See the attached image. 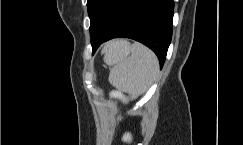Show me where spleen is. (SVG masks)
Segmentation results:
<instances>
[{"instance_id": "1", "label": "spleen", "mask_w": 243, "mask_h": 145, "mask_svg": "<svg viewBox=\"0 0 243 145\" xmlns=\"http://www.w3.org/2000/svg\"><path fill=\"white\" fill-rule=\"evenodd\" d=\"M130 56L116 57L112 51L106 53L104 60L114 66L110 69V84L134 96L145 93L159 73L156 55L146 46L134 43L130 46Z\"/></svg>"}]
</instances>
